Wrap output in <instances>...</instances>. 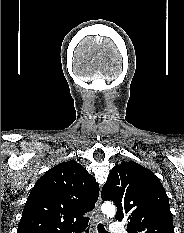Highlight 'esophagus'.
<instances>
[{"label": "esophagus", "instance_id": "34e87169", "mask_svg": "<svg viewBox=\"0 0 184 233\" xmlns=\"http://www.w3.org/2000/svg\"><path fill=\"white\" fill-rule=\"evenodd\" d=\"M101 201H102L101 197L99 196L98 201L95 204L96 215H95V217L93 218V221H92L93 227H95L102 220V215H101V212H100Z\"/></svg>", "mask_w": 184, "mask_h": 233}]
</instances>
